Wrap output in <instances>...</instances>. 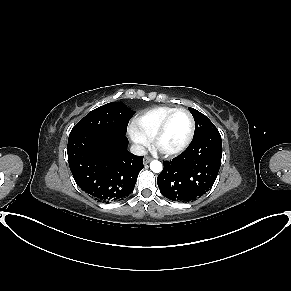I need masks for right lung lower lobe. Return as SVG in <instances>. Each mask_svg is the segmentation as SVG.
Returning <instances> with one entry per match:
<instances>
[{
    "label": "right lung lower lobe",
    "instance_id": "1",
    "mask_svg": "<svg viewBox=\"0 0 291 291\" xmlns=\"http://www.w3.org/2000/svg\"><path fill=\"white\" fill-rule=\"evenodd\" d=\"M127 146L126 135L115 132L69 135L68 162L77 185L99 202L129 196L144 165L143 156L130 153Z\"/></svg>",
    "mask_w": 291,
    "mask_h": 291
}]
</instances>
